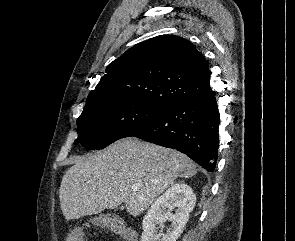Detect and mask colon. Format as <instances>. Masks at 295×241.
I'll list each match as a JSON object with an SVG mask.
<instances>
[{"instance_id": "5ec220e1", "label": "colon", "mask_w": 295, "mask_h": 241, "mask_svg": "<svg viewBox=\"0 0 295 241\" xmlns=\"http://www.w3.org/2000/svg\"><path fill=\"white\" fill-rule=\"evenodd\" d=\"M93 224L98 226H106L113 233L118 235L119 237L128 240L134 241V235L132 234L129 227L125 224V222L113 216H106L102 218H98ZM84 240V230L82 229H74L69 232L67 241H83Z\"/></svg>"}]
</instances>
